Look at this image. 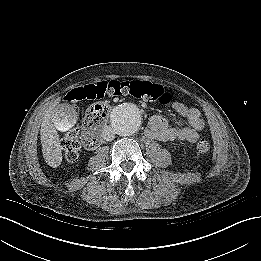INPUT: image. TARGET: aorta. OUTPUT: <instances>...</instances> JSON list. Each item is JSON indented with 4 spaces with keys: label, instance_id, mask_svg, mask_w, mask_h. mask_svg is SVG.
Returning a JSON list of instances; mask_svg holds the SVG:
<instances>
[{
    "label": "aorta",
    "instance_id": "1",
    "mask_svg": "<svg viewBox=\"0 0 261 261\" xmlns=\"http://www.w3.org/2000/svg\"><path fill=\"white\" fill-rule=\"evenodd\" d=\"M110 122L114 132L119 136L132 135L141 126V109L134 103H122L112 110Z\"/></svg>",
    "mask_w": 261,
    "mask_h": 261
}]
</instances>
